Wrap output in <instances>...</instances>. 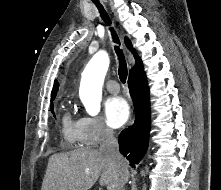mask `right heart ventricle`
Returning <instances> with one entry per match:
<instances>
[{
	"label": "right heart ventricle",
	"instance_id": "e07e8e85",
	"mask_svg": "<svg viewBox=\"0 0 221 190\" xmlns=\"http://www.w3.org/2000/svg\"><path fill=\"white\" fill-rule=\"evenodd\" d=\"M62 132L64 139L71 145L81 143L79 132V119H74L69 112L65 113L62 119Z\"/></svg>",
	"mask_w": 221,
	"mask_h": 190
}]
</instances>
